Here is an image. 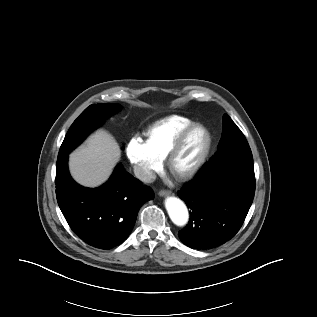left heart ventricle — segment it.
<instances>
[{"label": "left heart ventricle", "instance_id": "b2bd125f", "mask_svg": "<svg viewBox=\"0 0 317 317\" xmlns=\"http://www.w3.org/2000/svg\"><path fill=\"white\" fill-rule=\"evenodd\" d=\"M203 144L204 135L200 130L191 133L174 161V170L182 172L191 167L199 157Z\"/></svg>", "mask_w": 317, "mask_h": 317}]
</instances>
